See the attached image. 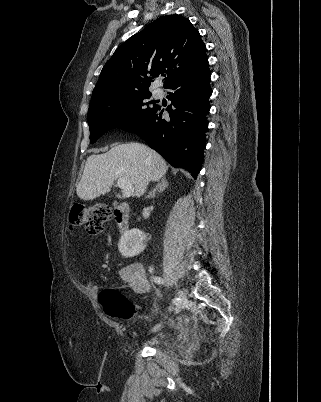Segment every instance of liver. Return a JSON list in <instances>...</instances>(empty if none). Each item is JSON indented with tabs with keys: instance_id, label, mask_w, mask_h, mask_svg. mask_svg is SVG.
Wrapping results in <instances>:
<instances>
[{
	"instance_id": "obj_1",
	"label": "liver",
	"mask_w": 321,
	"mask_h": 402,
	"mask_svg": "<svg viewBox=\"0 0 321 402\" xmlns=\"http://www.w3.org/2000/svg\"><path fill=\"white\" fill-rule=\"evenodd\" d=\"M168 170L165 160L144 144L114 145L103 154L87 158L76 192L82 200H92L109 192L114 180L125 178L133 185V197L142 196L150 181H158Z\"/></svg>"
}]
</instances>
